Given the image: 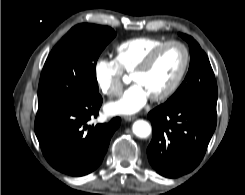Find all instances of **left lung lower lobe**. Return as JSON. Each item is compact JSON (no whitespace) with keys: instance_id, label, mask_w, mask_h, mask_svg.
<instances>
[{"instance_id":"1","label":"left lung lower lobe","mask_w":245,"mask_h":195,"mask_svg":"<svg viewBox=\"0 0 245 195\" xmlns=\"http://www.w3.org/2000/svg\"><path fill=\"white\" fill-rule=\"evenodd\" d=\"M153 138L147 154L162 176L176 178L201 162L217 122L216 106L166 102L149 112Z\"/></svg>"}]
</instances>
